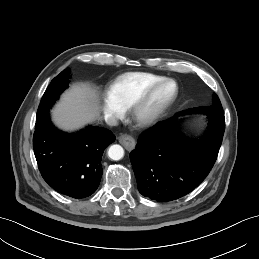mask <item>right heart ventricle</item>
Segmentation results:
<instances>
[{
    "instance_id": "1",
    "label": "right heart ventricle",
    "mask_w": 259,
    "mask_h": 259,
    "mask_svg": "<svg viewBox=\"0 0 259 259\" xmlns=\"http://www.w3.org/2000/svg\"><path fill=\"white\" fill-rule=\"evenodd\" d=\"M164 76L147 72H128L118 76L106 90L108 98L127 110L134 99Z\"/></svg>"
}]
</instances>
